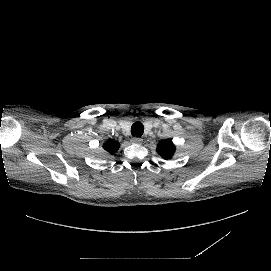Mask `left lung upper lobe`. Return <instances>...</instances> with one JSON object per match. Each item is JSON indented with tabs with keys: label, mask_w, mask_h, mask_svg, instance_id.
I'll return each mask as SVG.
<instances>
[{
	"label": "left lung upper lobe",
	"mask_w": 271,
	"mask_h": 271,
	"mask_svg": "<svg viewBox=\"0 0 271 271\" xmlns=\"http://www.w3.org/2000/svg\"><path fill=\"white\" fill-rule=\"evenodd\" d=\"M175 151V147L172 144L171 140H164L159 143L157 147V152L161 155L164 159H170Z\"/></svg>",
	"instance_id": "obj_1"
}]
</instances>
